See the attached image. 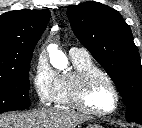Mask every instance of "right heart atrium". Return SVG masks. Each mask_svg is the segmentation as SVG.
I'll return each mask as SVG.
<instances>
[{
	"mask_svg": "<svg viewBox=\"0 0 142 128\" xmlns=\"http://www.w3.org/2000/svg\"><path fill=\"white\" fill-rule=\"evenodd\" d=\"M56 72L50 66L47 58L39 54L32 64L30 81L40 104L52 101L56 86Z\"/></svg>",
	"mask_w": 142,
	"mask_h": 128,
	"instance_id": "d8ad5b80",
	"label": "right heart atrium"
}]
</instances>
